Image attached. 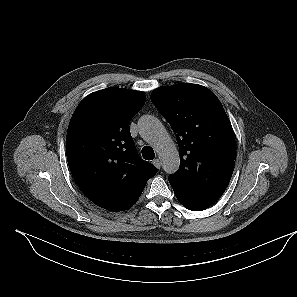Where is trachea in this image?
Wrapping results in <instances>:
<instances>
[{
    "instance_id": "obj_1",
    "label": "trachea",
    "mask_w": 297,
    "mask_h": 297,
    "mask_svg": "<svg viewBox=\"0 0 297 297\" xmlns=\"http://www.w3.org/2000/svg\"><path fill=\"white\" fill-rule=\"evenodd\" d=\"M142 156L145 160H153L155 157L154 150L150 146H144L142 149Z\"/></svg>"
}]
</instances>
